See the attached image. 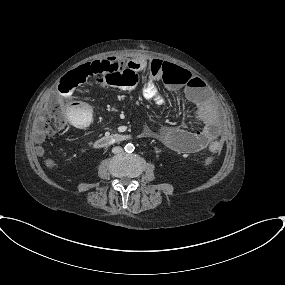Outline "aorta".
<instances>
[{"label": "aorta", "instance_id": "762f6f07", "mask_svg": "<svg viewBox=\"0 0 285 285\" xmlns=\"http://www.w3.org/2000/svg\"><path fill=\"white\" fill-rule=\"evenodd\" d=\"M124 149L126 152L131 153L134 151L135 147L132 143H128L125 145Z\"/></svg>", "mask_w": 285, "mask_h": 285}]
</instances>
